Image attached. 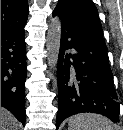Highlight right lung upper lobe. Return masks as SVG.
Instances as JSON below:
<instances>
[{"label":"right lung upper lobe","instance_id":"right-lung-upper-lobe-1","mask_svg":"<svg viewBox=\"0 0 123 130\" xmlns=\"http://www.w3.org/2000/svg\"><path fill=\"white\" fill-rule=\"evenodd\" d=\"M28 13L27 0H1V31L23 28Z\"/></svg>","mask_w":123,"mask_h":130}]
</instances>
